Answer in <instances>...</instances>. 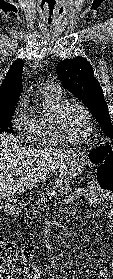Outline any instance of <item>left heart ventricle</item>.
Listing matches in <instances>:
<instances>
[{
  "instance_id": "b2bd125f",
  "label": "left heart ventricle",
  "mask_w": 113,
  "mask_h": 279,
  "mask_svg": "<svg viewBox=\"0 0 113 279\" xmlns=\"http://www.w3.org/2000/svg\"><path fill=\"white\" fill-rule=\"evenodd\" d=\"M59 125L64 134L70 137H81L88 131V120L75 104L66 106L60 116Z\"/></svg>"
}]
</instances>
